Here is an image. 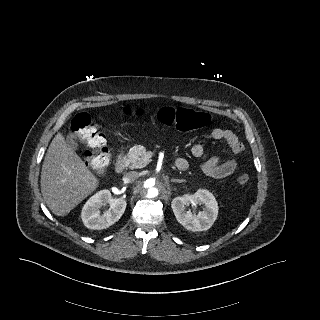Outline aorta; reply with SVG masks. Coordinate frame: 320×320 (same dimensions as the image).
I'll return each instance as SVG.
<instances>
[{
  "instance_id": "762f6f07",
  "label": "aorta",
  "mask_w": 320,
  "mask_h": 320,
  "mask_svg": "<svg viewBox=\"0 0 320 320\" xmlns=\"http://www.w3.org/2000/svg\"><path fill=\"white\" fill-rule=\"evenodd\" d=\"M161 185L158 178H145L142 183V195L149 200L156 199L160 194Z\"/></svg>"
}]
</instances>
